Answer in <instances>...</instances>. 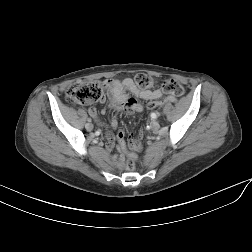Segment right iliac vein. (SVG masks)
Segmentation results:
<instances>
[{
	"mask_svg": "<svg viewBox=\"0 0 252 252\" xmlns=\"http://www.w3.org/2000/svg\"><path fill=\"white\" fill-rule=\"evenodd\" d=\"M85 128H86L88 131H91V130H93V125H92L91 123H87V124L85 125Z\"/></svg>",
	"mask_w": 252,
	"mask_h": 252,
	"instance_id": "obj_1",
	"label": "right iliac vein"
}]
</instances>
